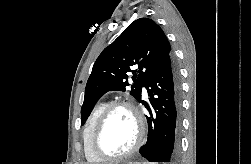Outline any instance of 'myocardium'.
Listing matches in <instances>:
<instances>
[{
  "label": "myocardium",
  "mask_w": 251,
  "mask_h": 164,
  "mask_svg": "<svg viewBox=\"0 0 251 164\" xmlns=\"http://www.w3.org/2000/svg\"><path fill=\"white\" fill-rule=\"evenodd\" d=\"M118 108H126L133 115L136 125H137V138L134 145L126 152L118 155H109L104 153L98 145L99 137L104 128V125L111 115V113ZM145 139V124L143 118L135 107V105L129 101L119 100L114 101L106 106L99 118L97 119L95 126L93 128L90 140V147L92 153L102 161H117L130 157L141 147Z\"/></svg>",
  "instance_id": "f54148a6"
}]
</instances>
